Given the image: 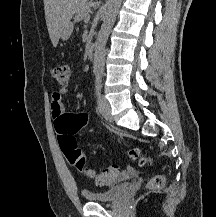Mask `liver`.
Returning <instances> with one entry per match:
<instances>
[{
    "label": "liver",
    "mask_w": 216,
    "mask_h": 217,
    "mask_svg": "<svg viewBox=\"0 0 216 217\" xmlns=\"http://www.w3.org/2000/svg\"><path fill=\"white\" fill-rule=\"evenodd\" d=\"M87 0H44L45 19L51 42L57 46L61 33Z\"/></svg>",
    "instance_id": "obj_1"
}]
</instances>
